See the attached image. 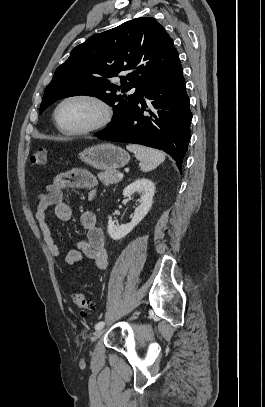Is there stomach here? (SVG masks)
Instances as JSON below:
<instances>
[{
	"label": "stomach",
	"instance_id": "obj_1",
	"mask_svg": "<svg viewBox=\"0 0 265 407\" xmlns=\"http://www.w3.org/2000/svg\"><path fill=\"white\" fill-rule=\"evenodd\" d=\"M84 163L102 171H111L124 167L130 155L122 148L110 143H102L85 149L79 153Z\"/></svg>",
	"mask_w": 265,
	"mask_h": 407
}]
</instances>
